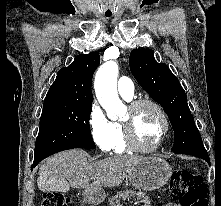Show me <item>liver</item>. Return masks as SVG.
Returning <instances> with one entry per match:
<instances>
[{
	"mask_svg": "<svg viewBox=\"0 0 221 206\" xmlns=\"http://www.w3.org/2000/svg\"><path fill=\"white\" fill-rule=\"evenodd\" d=\"M142 159L115 156L89 163L84 150L63 151L40 164L37 185L41 191L52 190V186L58 182L63 183L65 191L70 186L85 189L118 186ZM90 180H93L91 186Z\"/></svg>",
	"mask_w": 221,
	"mask_h": 206,
	"instance_id": "6515ba94",
	"label": "liver"
}]
</instances>
